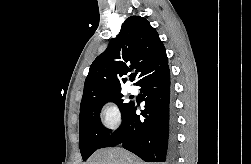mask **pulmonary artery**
<instances>
[{"mask_svg":"<svg viewBox=\"0 0 251 164\" xmlns=\"http://www.w3.org/2000/svg\"><path fill=\"white\" fill-rule=\"evenodd\" d=\"M128 91H129V93H131V94L135 95V94H137L138 89H137V87H136V86H134V85H130V86L128 87Z\"/></svg>","mask_w":251,"mask_h":164,"instance_id":"obj_1","label":"pulmonary artery"}]
</instances>
